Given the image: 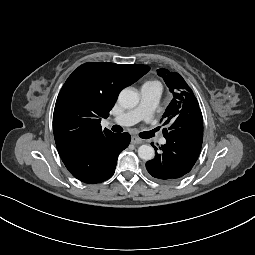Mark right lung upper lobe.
<instances>
[{
    "label": "right lung upper lobe",
    "mask_w": 255,
    "mask_h": 255,
    "mask_svg": "<svg viewBox=\"0 0 255 255\" xmlns=\"http://www.w3.org/2000/svg\"><path fill=\"white\" fill-rule=\"evenodd\" d=\"M146 65L104 62L79 66L64 83L55 104L53 132L60 156L85 143L113 135L101 129L119 92L149 71Z\"/></svg>",
    "instance_id": "right-lung-upper-lobe-1"
}]
</instances>
